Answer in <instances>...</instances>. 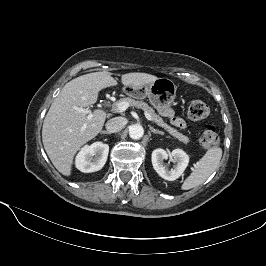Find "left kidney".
<instances>
[{
    "label": "left kidney",
    "mask_w": 266,
    "mask_h": 266,
    "mask_svg": "<svg viewBox=\"0 0 266 266\" xmlns=\"http://www.w3.org/2000/svg\"><path fill=\"white\" fill-rule=\"evenodd\" d=\"M170 158L174 162V166L168 169L167 165L164 164V160ZM152 165L154 170L163 179L168 181H174L179 178L189 163L188 155L181 149H175L171 153H167L164 149H155L152 152Z\"/></svg>",
    "instance_id": "obj_1"
}]
</instances>
